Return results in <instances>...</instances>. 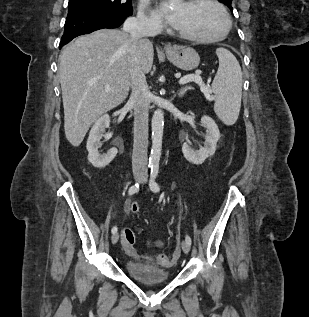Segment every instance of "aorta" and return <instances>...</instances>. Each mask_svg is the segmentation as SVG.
Masks as SVG:
<instances>
[{
  "label": "aorta",
  "instance_id": "obj_1",
  "mask_svg": "<svg viewBox=\"0 0 309 317\" xmlns=\"http://www.w3.org/2000/svg\"><path fill=\"white\" fill-rule=\"evenodd\" d=\"M180 0H169L171 4L178 3ZM152 148L149 157V165L156 167L159 165L161 150H162V139H163V128H164V114L161 109H157L152 117Z\"/></svg>",
  "mask_w": 309,
  "mask_h": 317
}]
</instances>
